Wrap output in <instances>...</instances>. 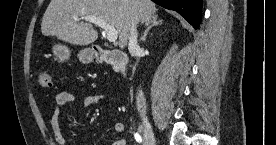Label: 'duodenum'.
Listing matches in <instances>:
<instances>
[{
	"label": "duodenum",
	"instance_id": "410a0bca",
	"mask_svg": "<svg viewBox=\"0 0 276 145\" xmlns=\"http://www.w3.org/2000/svg\"><path fill=\"white\" fill-rule=\"evenodd\" d=\"M94 53L98 61L109 63L114 71L126 75L128 57L122 50L105 49L101 46H97Z\"/></svg>",
	"mask_w": 276,
	"mask_h": 145
}]
</instances>
